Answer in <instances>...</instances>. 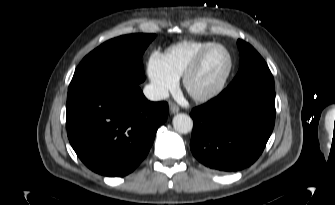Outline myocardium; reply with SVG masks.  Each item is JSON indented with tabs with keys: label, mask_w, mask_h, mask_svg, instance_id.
Returning <instances> with one entry per match:
<instances>
[{
	"label": "myocardium",
	"mask_w": 335,
	"mask_h": 205,
	"mask_svg": "<svg viewBox=\"0 0 335 205\" xmlns=\"http://www.w3.org/2000/svg\"><path fill=\"white\" fill-rule=\"evenodd\" d=\"M223 49L227 56H228V68L224 74V76L221 78V80L214 86L212 89H210L207 92L204 93H193L190 90V81L192 78L199 72L201 69L206 57L215 49ZM234 69V58L231 53V51L223 44L220 43H214L211 46L205 48L202 50L197 57L194 59V61L191 63V65L187 68V70L184 72L182 77V85L186 93L195 101L197 102H207L214 98H216L225 88L227 85L232 72Z\"/></svg>",
	"instance_id": "1"
}]
</instances>
